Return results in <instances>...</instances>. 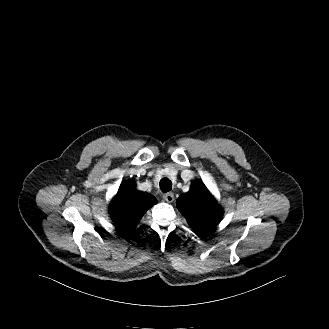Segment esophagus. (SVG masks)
Wrapping results in <instances>:
<instances>
[{
    "label": "esophagus",
    "instance_id": "34e87169",
    "mask_svg": "<svg viewBox=\"0 0 329 329\" xmlns=\"http://www.w3.org/2000/svg\"><path fill=\"white\" fill-rule=\"evenodd\" d=\"M163 198L166 202L172 203L174 201V194L172 192H168L163 195Z\"/></svg>",
    "mask_w": 329,
    "mask_h": 329
}]
</instances>
